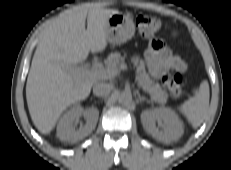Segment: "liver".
<instances>
[{
  "label": "liver",
  "mask_w": 231,
  "mask_h": 170,
  "mask_svg": "<svg viewBox=\"0 0 231 170\" xmlns=\"http://www.w3.org/2000/svg\"><path fill=\"white\" fill-rule=\"evenodd\" d=\"M118 10L76 6L47 27L32 59L26 84L31 119L42 134H49L70 105L85 100L97 78L68 69L107 46L106 25ZM87 18V29L85 21Z\"/></svg>",
  "instance_id": "1"
}]
</instances>
